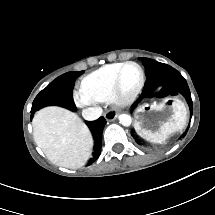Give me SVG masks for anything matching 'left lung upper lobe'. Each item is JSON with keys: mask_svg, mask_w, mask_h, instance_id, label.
<instances>
[{"mask_svg": "<svg viewBox=\"0 0 215 215\" xmlns=\"http://www.w3.org/2000/svg\"><path fill=\"white\" fill-rule=\"evenodd\" d=\"M139 59L145 66L147 81L145 82L142 95L140 96L136 104L143 97H145L147 94L154 90L161 89L160 92L164 91L174 92V90H176L185 97L190 108V114L192 116L193 105L190 90L186 80L182 77V75L176 69L172 68L169 65L157 62L149 58ZM131 135L134 137L137 143L141 144V141L138 138H136L132 132Z\"/></svg>", "mask_w": 215, "mask_h": 215, "instance_id": "5c2ea615", "label": "left lung upper lobe"}]
</instances>
